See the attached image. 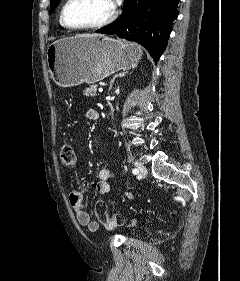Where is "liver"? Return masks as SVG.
Masks as SVG:
<instances>
[{
  "label": "liver",
  "mask_w": 240,
  "mask_h": 281,
  "mask_svg": "<svg viewBox=\"0 0 240 281\" xmlns=\"http://www.w3.org/2000/svg\"><path fill=\"white\" fill-rule=\"evenodd\" d=\"M84 36H90V35H84ZM95 36H99V35H95Z\"/></svg>",
  "instance_id": "liver-1"
}]
</instances>
